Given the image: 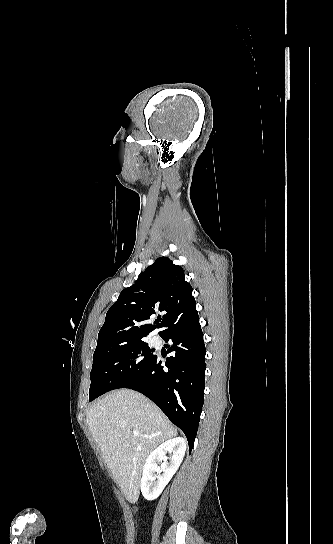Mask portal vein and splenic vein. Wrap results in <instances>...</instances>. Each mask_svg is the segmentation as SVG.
Instances as JSON below:
<instances>
[{
    "label": "portal vein and splenic vein",
    "instance_id": "1",
    "mask_svg": "<svg viewBox=\"0 0 333 544\" xmlns=\"http://www.w3.org/2000/svg\"><path fill=\"white\" fill-rule=\"evenodd\" d=\"M133 435H134L135 437H137V436H139V432L134 430V431H133ZM144 437L148 438L149 436L144 435Z\"/></svg>",
    "mask_w": 333,
    "mask_h": 544
}]
</instances>
